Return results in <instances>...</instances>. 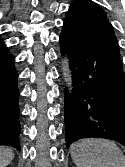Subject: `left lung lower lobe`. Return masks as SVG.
<instances>
[{
	"label": "left lung lower lobe",
	"instance_id": "1",
	"mask_svg": "<svg viewBox=\"0 0 125 167\" xmlns=\"http://www.w3.org/2000/svg\"><path fill=\"white\" fill-rule=\"evenodd\" d=\"M59 41L74 87L65 94L66 146L90 137L125 146V73L112 25L64 21Z\"/></svg>",
	"mask_w": 125,
	"mask_h": 167
}]
</instances>
